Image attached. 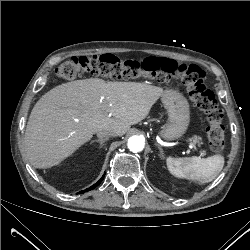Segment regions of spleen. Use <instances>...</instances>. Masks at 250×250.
Segmentation results:
<instances>
[{
    "label": "spleen",
    "mask_w": 250,
    "mask_h": 250,
    "mask_svg": "<svg viewBox=\"0 0 250 250\" xmlns=\"http://www.w3.org/2000/svg\"><path fill=\"white\" fill-rule=\"evenodd\" d=\"M169 172L178 178H188L205 184L214 180L224 166V157L220 154L206 159L194 156L190 158L166 159Z\"/></svg>",
    "instance_id": "spleen-1"
}]
</instances>
